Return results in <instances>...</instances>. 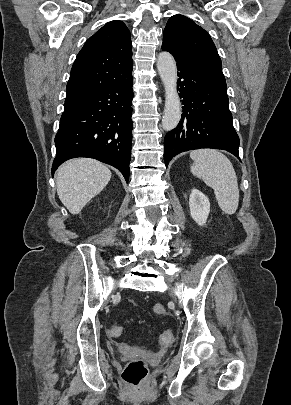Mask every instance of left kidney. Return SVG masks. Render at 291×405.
Here are the masks:
<instances>
[{"label": "left kidney", "instance_id": "obj_1", "mask_svg": "<svg viewBox=\"0 0 291 405\" xmlns=\"http://www.w3.org/2000/svg\"><path fill=\"white\" fill-rule=\"evenodd\" d=\"M189 207L192 219L200 226L205 225L210 212L208 198L201 191L193 189L189 197Z\"/></svg>", "mask_w": 291, "mask_h": 405}]
</instances>
